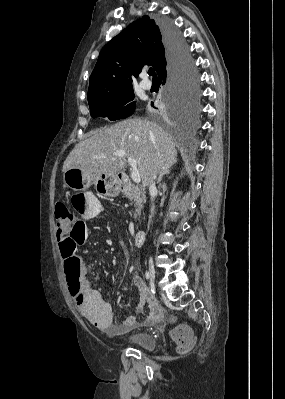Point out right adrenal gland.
I'll return each instance as SVG.
<instances>
[{"mask_svg":"<svg viewBox=\"0 0 285 399\" xmlns=\"http://www.w3.org/2000/svg\"><path fill=\"white\" fill-rule=\"evenodd\" d=\"M170 173H171V167H168V168L162 170L160 175H159V177H158L157 183H160L162 181V178H163L164 175H168Z\"/></svg>","mask_w":285,"mask_h":399,"instance_id":"2a0ac1e0","label":"right adrenal gland"}]
</instances>
